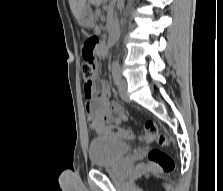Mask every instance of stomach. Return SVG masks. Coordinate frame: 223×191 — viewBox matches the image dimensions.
<instances>
[{
	"mask_svg": "<svg viewBox=\"0 0 223 191\" xmlns=\"http://www.w3.org/2000/svg\"><path fill=\"white\" fill-rule=\"evenodd\" d=\"M78 22L83 27H90L94 23V14L89 6V4H86L83 8L80 17L78 19Z\"/></svg>",
	"mask_w": 223,
	"mask_h": 191,
	"instance_id": "1",
	"label": "stomach"
}]
</instances>
